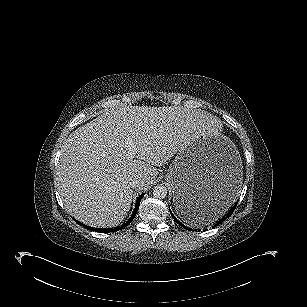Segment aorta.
<instances>
[{
    "label": "aorta",
    "instance_id": "aorta-1",
    "mask_svg": "<svg viewBox=\"0 0 307 307\" xmlns=\"http://www.w3.org/2000/svg\"><path fill=\"white\" fill-rule=\"evenodd\" d=\"M153 196L157 199H164L167 196V188L163 185H156L153 188Z\"/></svg>",
    "mask_w": 307,
    "mask_h": 307
}]
</instances>
